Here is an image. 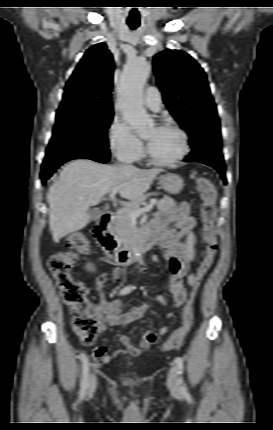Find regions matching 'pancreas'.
Masks as SVG:
<instances>
[{"mask_svg":"<svg viewBox=\"0 0 273 430\" xmlns=\"http://www.w3.org/2000/svg\"><path fill=\"white\" fill-rule=\"evenodd\" d=\"M155 194V192L143 194L138 200L126 203L124 207L116 213L113 220L112 230L118 243H127L134 236L135 230L128 212L130 210L139 209L140 204H142L150 195ZM176 206L177 203L169 196H164L157 202V207L160 210H173Z\"/></svg>","mask_w":273,"mask_h":430,"instance_id":"pancreas-1","label":"pancreas"}]
</instances>
